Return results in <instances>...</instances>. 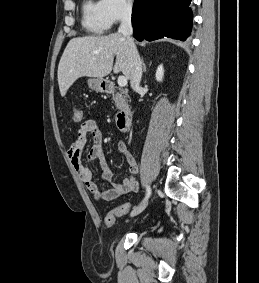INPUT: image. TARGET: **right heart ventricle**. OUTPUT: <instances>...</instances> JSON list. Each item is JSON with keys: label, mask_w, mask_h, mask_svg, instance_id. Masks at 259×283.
Returning <instances> with one entry per match:
<instances>
[{"label": "right heart ventricle", "mask_w": 259, "mask_h": 283, "mask_svg": "<svg viewBox=\"0 0 259 283\" xmlns=\"http://www.w3.org/2000/svg\"><path fill=\"white\" fill-rule=\"evenodd\" d=\"M83 25L91 33L102 35L106 33L110 24L107 21L100 1L86 0L83 4Z\"/></svg>", "instance_id": "obj_1"}]
</instances>
